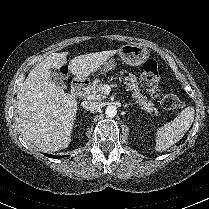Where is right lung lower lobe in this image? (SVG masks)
<instances>
[{
  "mask_svg": "<svg viewBox=\"0 0 209 209\" xmlns=\"http://www.w3.org/2000/svg\"><path fill=\"white\" fill-rule=\"evenodd\" d=\"M47 157H50V158H59V156H54V155H50V154H45Z\"/></svg>",
  "mask_w": 209,
  "mask_h": 209,
  "instance_id": "obj_1",
  "label": "right lung lower lobe"
}]
</instances>
